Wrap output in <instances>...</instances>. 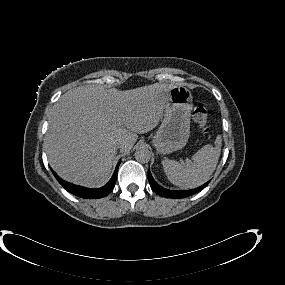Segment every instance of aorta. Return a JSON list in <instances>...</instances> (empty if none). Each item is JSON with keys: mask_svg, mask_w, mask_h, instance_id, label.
Segmentation results:
<instances>
[{"mask_svg": "<svg viewBox=\"0 0 285 285\" xmlns=\"http://www.w3.org/2000/svg\"><path fill=\"white\" fill-rule=\"evenodd\" d=\"M135 158L138 162L148 163L151 159V152L145 147H140L135 152Z\"/></svg>", "mask_w": 285, "mask_h": 285, "instance_id": "aorta-1", "label": "aorta"}]
</instances>
